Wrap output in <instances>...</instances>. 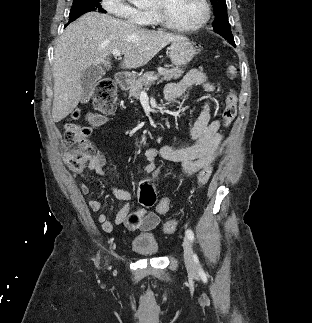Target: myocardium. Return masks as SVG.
Listing matches in <instances>:
<instances>
[{"label":"myocardium","mask_w":312,"mask_h":323,"mask_svg":"<svg viewBox=\"0 0 312 323\" xmlns=\"http://www.w3.org/2000/svg\"><path fill=\"white\" fill-rule=\"evenodd\" d=\"M201 4L200 20H171L169 12H166L164 5L156 8L155 13L160 25H169V31H201L207 25L212 15V5L208 0H197Z\"/></svg>","instance_id":"obj_1"}]
</instances>
